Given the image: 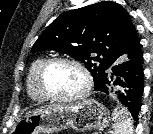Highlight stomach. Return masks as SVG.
<instances>
[{
  "label": "stomach",
  "instance_id": "0dacf381",
  "mask_svg": "<svg viewBox=\"0 0 153 134\" xmlns=\"http://www.w3.org/2000/svg\"><path fill=\"white\" fill-rule=\"evenodd\" d=\"M108 122L105 107L94 99L73 105H53L25 114L14 126V134H54L71 128L77 132L103 128Z\"/></svg>",
  "mask_w": 153,
  "mask_h": 134
}]
</instances>
